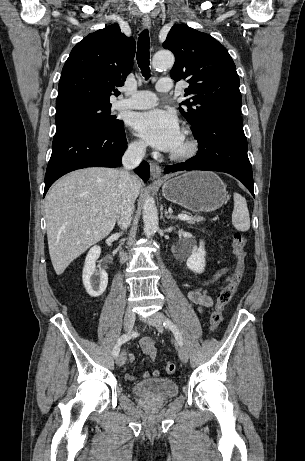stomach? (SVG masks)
Wrapping results in <instances>:
<instances>
[{
    "label": "stomach",
    "mask_w": 305,
    "mask_h": 461,
    "mask_svg": "<svg viewBox=\"0 0 305 461\" xmlns=\"http://www.w3.org/2000/svg\"><path fill=\"white\" fill-rule=\"evenodd\" d=\"M163 196L170 202L195 212H211L225 202L223 181L210 171H191L163 183Z\"/></svg>",
    "instance_id": "obj_1"
}]
</instances>
